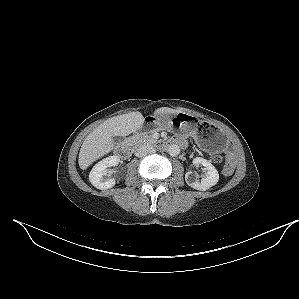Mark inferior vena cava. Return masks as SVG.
<instances>
[{
  "instance_id": "602c4592",
  "label": "inferior vena cava",
  "mask_w": 299,
  "mask_h": 299,
  "mask_svg": "<svg viewBox=\"0 0 299 299\" xmlns=\"http://www.w3.org/2000/svg\"><path fill=\"white\" fill-rule=\"evenodd\" d=\"M154 151L155 150L151 145H141L136 148L134 154L136 157H143V156L153 153Z\"/></svg>"
}]
</instances>
